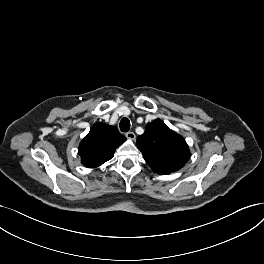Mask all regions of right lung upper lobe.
<instances>
[{"mask_svg":"<svg viewBox=\"0 0 264 264\" xmlns=\"http://www.w3.org/2000/svg\"><path fill=\"white\" fill-rule=\"evenodd\" d=\"M126 138L118 129L104 123H96L79 145L81 163L88 168H96L114 156L116 148Z\"/></svg>","mask_w":264,"mask_h":264,"instance_id":"obj_1","label":"right lung upper lobe"}]
</instances>
